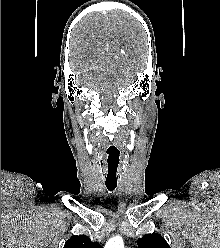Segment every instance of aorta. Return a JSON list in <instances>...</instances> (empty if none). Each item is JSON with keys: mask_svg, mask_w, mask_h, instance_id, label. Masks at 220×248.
<instances>
[{"mask_svg": "<svg viewBox=\"0 0 220 248\" xmlns=\"http://www.w3.org/2000/svg\"><path fill=\"white\" fill-rule=\"evenodd\" d=\"M104 248H124L123 239L120 236L111 238Z\"/></svg>", "mask_w": 220, "mask_h": 248, "instance_id": "obj_1", "label": "aorta"}]
</instances>
